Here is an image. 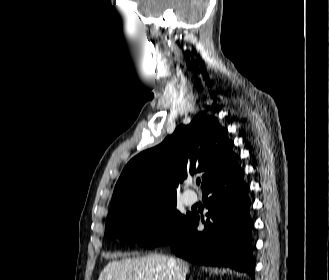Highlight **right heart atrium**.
Here are the masks:
<instances>
[{"instance_id": "right-heart-atrium-1", "label": "right heart atrium", "mask_w": 329, "mask_h": 280, "mask_svg": "<svg viewBox=\"0 0 329 280\" xmlns=\"http://www.w3.org/2000/svg\"><path fill=\"white\" fill-rule=\"evenodd\" d=\"M158 222V214L152 212L144 219L142 227L145 231H151L157 226Z\"/></svg>"}]
</instances>
